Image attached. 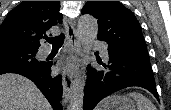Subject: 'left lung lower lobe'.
Listing matches in <instances>:
<instances>
[{
	"label": "left lung lower lobe",
	"mask_w": 171,
	"mask_h": 110,
	"mask_svg": "<svg viewBox=\"0 0 171 110\" xmlns=\"http://www.w3.org/2000/svg\"><path fill=\"white\" fill-rule=\"evenodd\" d=\"M109 62L103 70L88 69L84 110H93L106 96L126 87L138 86L150 91L159 101L150 61L135 59L108 49Z\"/></svg>",
	"instance_id": "0a47b994"
}]
</instances>
